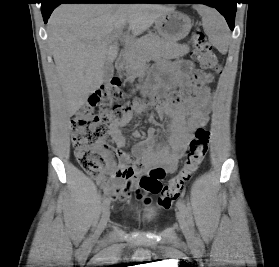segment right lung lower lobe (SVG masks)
<instances>
[{"mask_svg":"<svg viewBox=\"0 0 279 267\" xmlns=\"http://www.w3.org/2000/svg\"><path fill=\"white\" fill-rule=\"evenodd\" d=\"M147 0H43L41 12L44 23H47L53 10L62 3H144Z\"/></svg>","mask_w":279,"mask_h":267,"instance_id":"1","label":"right lung lower lobe"}]
</instances>
